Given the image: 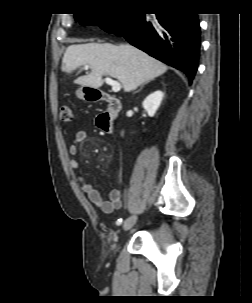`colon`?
Returning a JSON list of instances; mask_svg holds the SVG:
<instances>
[{
    "label": "colon",
    "mask_w": 252,
    "mask_h": 303,
    "mask_svg": "<svg viewBox=\"0 0 252 303\" xmlns=\"http://www.w3.org/2000/svg\"><path fill=\"white\" fill-rule=\"evenodd\" d=\"M74 116H73V110L69 105H63L60 109V119L63 122H72Z\"/></svg>",
    "instance_id": "1"
}]
</instances>
